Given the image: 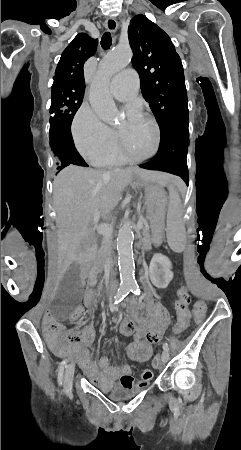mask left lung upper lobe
I'll return each instance as SVG.
<instances>
[{
  "label": "left lung upper lobe",
  "mask_w": 241,
  "mask_h": 450,
  "mask_svg": "<svg viewBox=\"0 0 241 450\" xmlns=\"http://www.w3.org/2000/svg\"><path fill=\"white\" fill-rule=\"evenodd\" d=\"M128 38L142 95L162 129L178 114L188 112L182 62L169 36L144 15L131 19Z\"/></svg>",
  "instance_id": "1"
}]
</instances>
